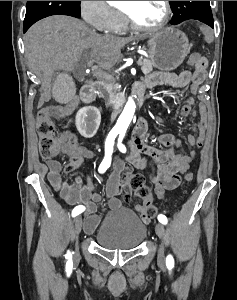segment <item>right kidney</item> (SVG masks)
<instances>
[{
  "label": "right kidney",
  "mask_w": 237,
  "mask_h": 300,
  "mask_svg": "<svg viewBox=\"0 0 237 300\" xmlns=\"http://www.w3.org/2000/svg\"><path fill=\"white\" fill-rule=\"evenodd\" d=\"M101 123L100 111L96 107H82L76 115V129L85 139L96 135Z\"/></svg>",
  "instance_id": "obj_1"
}]
</instances>
